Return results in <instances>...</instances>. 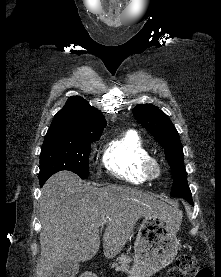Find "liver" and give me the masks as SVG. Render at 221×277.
<instances>
[{"mask_svg":"<svg viewBox=\"0 0 221 277\" xmlns=\"http://www.w3.org/2000/svg\"><path fill=\"white\" fill-rule=\"evenodd\" d=\"M171 207L136 188L83 185L72 172L61 171L44 184L40 198L41 255L36 277H50L62 261L85 262L99 250V228L107 224L103 252L110 259L128 241L136 222L152 214H169Z\"/></svg>","mask_w":221,"mask_h":277,"instance_id":"1","label":"liver"}]
</instances>
